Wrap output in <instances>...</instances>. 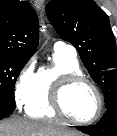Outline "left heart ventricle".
I'll use <instances>...</instances> for the list:
<instances>
[{"mask_svg": "<svg viewBox=\"0 0 117 136\" xmlns=\"http://www.w3.org/2000/svg\"><path fill=\"white\" fill-rule=\"evenodd\" d=\"M67 111L80 120L92 118L97 111V99L94 91L86 84L73 87L66 96Z\"/></svg>", "mask_w": 117, "mask_h": 136, "instance_id": "left-heart-ventricle-1", "label": "left heart ventricle"}]
</instances>
